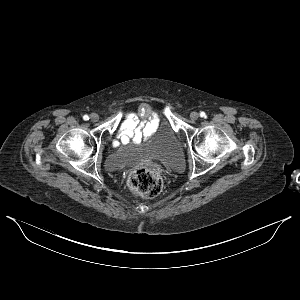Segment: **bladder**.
I'll return each mask as SVG.
<instances>
[{
  "instance_id": "obj_1",
  "label": "bladder",
  "mask_w": 300,
  "mask_h": 300,
  "mask_svg": "<svg viewBox=\"0 0 300 300\" xmlns=\"http://www.w3.org/2000/svg\"><path fill=\"white\" fill-rule=\"evenodd\" d=\"M127 153H134L150 158H160L163 163L177 168L178 163L183 162V153L180 141L176 133L167 125L161 123L144 141L133 146H125ZM112 155L107 159L109 169L114 172L119 170L123 164V156Z\"/></svg>"
}]
</instances>
